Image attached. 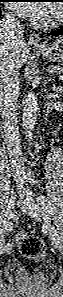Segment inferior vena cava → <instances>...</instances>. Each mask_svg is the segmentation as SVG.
I'll use <instances>...</instances> for the list:
<instances>
[{"mask_svg":"<svg viewBox=\"0 0 63 297\" xmlns=\"http://www.w3.org/2000/svg\"><path fill=\"white\" fill-rule=\"evenodd\" d=\"M23 30V25L13 15L8 14L1 20V36L8 38L16 45L24 41ZM18 84L17 70L2 62L0 67V112L11 165L14 172L20 175L23 172V161L17 120Z\"/></svg>","mask_w":63,"mask_h":297,"instance_id":"obj_1","label":"inferior vena cava"}]
</instances>
